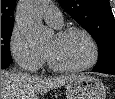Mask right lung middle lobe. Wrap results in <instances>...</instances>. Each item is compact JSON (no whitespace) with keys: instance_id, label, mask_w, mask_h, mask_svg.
I'll return each mask as SVG.
<instances>
[{"instance_id":"right-lung-middle-lobe-1","label":"right lung middle lobe","mask_w":115,"mask_h":99,"mask_svg":"<svg viewBox=\"0 0 115 99\" xmlns=\"http://www.w3.org/2000/svg\"><path fill=\"white\" fill-rule=\"evenodd\" d=\"M13 26H1V63H12L10 38Z\"/></svg>"}]
</instances>
